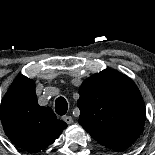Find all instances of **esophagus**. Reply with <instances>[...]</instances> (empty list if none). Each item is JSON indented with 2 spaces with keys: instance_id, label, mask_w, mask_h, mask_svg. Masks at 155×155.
<instances>
[{
  "instance_id": "esophagus-1",
  "label": "esophagus",
  "mask_w": 155,
  "mask_h": 155,
  "mask_svg": "<svg viewBox=\"0 0 155 155\" xmlns=\"http://www.w3.org/2000/svg\"><path fill=\"white\" fill-rule=\"evenodd\" d=\"M62 119L67 123V124H72L73 123V118L71 116H63Z\"/></svg>"
}]
</instances>
